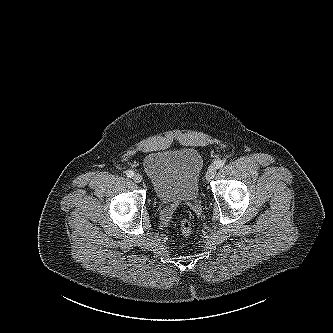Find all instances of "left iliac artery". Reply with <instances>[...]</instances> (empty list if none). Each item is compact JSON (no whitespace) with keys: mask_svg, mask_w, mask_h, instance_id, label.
<instances>
[{"mask_svg":"<svg viewBox=\"0 0 333 333\" xmlns=\"http://www.w3.org/2000/svg\"><path fill=\"white\" fill-rule=\"evenodd\" d=\"M214 166L219 169V168L224 166V161L223 160H217V161L214 162Z\"/></svg>","mask_w":333,"mask_h":333,"instance_id":"left-iliac-artery-1","label":"left iliac artery"}]
</instances>
